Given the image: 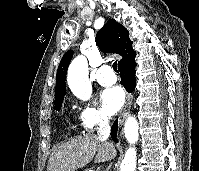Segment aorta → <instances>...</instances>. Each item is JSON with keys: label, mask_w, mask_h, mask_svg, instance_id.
I'll list each match as a JSON object with an SVG mask.
<instances>
[{"label": "aorta", "mask_w": 199, "mask_h": 171, "mask_svg": "<svg viewBox=\"0 0 199 171\" xmlns=\"http://www.w3.org/2000/svg\"><path fill=\"white\" fill-rule=\"evenodd\" d=\"M67 82L72 93L82 99L88 100L92 94V87L88 80V63L84 56L76 57L70 64L67 73ZM139 125L134 116H129L125 122L124 133L130 144L138 141ZM136 150L129 147L122 160L120 171H135Z\"/></svg>", "instance_id": "1"}]
</instances>
